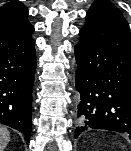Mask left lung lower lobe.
<instances>
[{
	"mask_svg": "<svg viewBox=\"0 0 131 151\" xmlns=\"http://www.w3.org/2000/svg\"><path fill=\"white\" fill-rule=\"evenodd\" d=\"M74 48L79 93L75 138L108 130L131 139V56L79 34Z\"/></svg>",
	"mask_w": 131,
	"mask_h": 151,
	"instance_id": "left-lung-lower-lobe-1",
	"label": "left lung lower lobe"
}]
</instances>
